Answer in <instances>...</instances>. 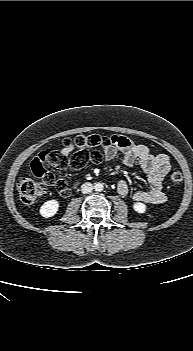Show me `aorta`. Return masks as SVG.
Here are the masks:
<instances>
[{"instance_id":"1","label":"aorta","mask_w":193,"mask_h":351,"mask_svg":"<svg viewBox=\"0 0 193 351\" xmlns=\"http://www.w3.org/2000/svg\"><path fill=\"white\" fill-rule=\"evenodd\" d=\"M94 189H95V191H97V192H101V191L103 190V184L100 183V182L96 183V184L94 185Z\"/></svg>"}]
</instances>
